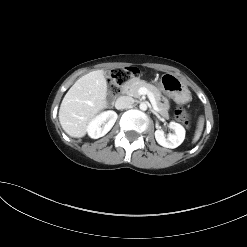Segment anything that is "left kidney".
Listing matches in <instances>:
<instances>
[{
	"mask_svg": "<svg viewBox=\"0 0 247 247\" xmlns=\"http://www.w3.org/2000/svg\"><path fill=\"white\" fill-rule=\"evenodd\" d=\"M169 127L175 131V134H168V137L165 138L164 131L156 130L155 138L161 146L173 149L184 141L186 131L182 125L176 122H170Z\"/></svg>",
	"mask_w": 247,
	"mask_h": 247,
	"instance_id": "1",
	"label": "left kidney"
}]
</instances>
